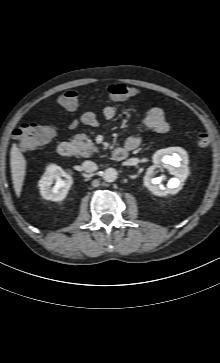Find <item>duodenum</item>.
<instances>
[{
    "instance_id": "obj_1",
    "label": "duodenum",
    "mask_w": 220,
    "mask_h": 363,
    "mask_svg": "<svg viewBox=\"0 0 220 363\" xmlns=\"http://www.w3.org/2000/svg\"><path fill=\"white\" fill-rule=\"evenodd\" d=\"M75 147L69 141H62L57 146V152L60 156L69 157L74 154ZM128 155V149L118 147L112 151V158L114 161H123Z\"/></svg>"
}]
</instances>
